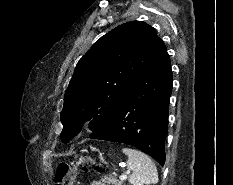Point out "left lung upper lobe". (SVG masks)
Here are the masks:
<instances>
[{
    "label": "left lung upper lobe",
    "instance_id": "5c2ea615",
    "mask_svg": "<svg viewBox=\"0 0 233 185\" xmlns=\"http://www.w3.org/2000/svg\"><path fill=\"white\" fill-rule=\"evenodd\" d=\"M166 51L155 29L141 21L127 22L102 36L79 60L65 92L62 141L68 142L86 121L93 131L106 124Z\"/></svg>",
    "mask_w": 233,
    "mask_h": 185
}]
</instances>
